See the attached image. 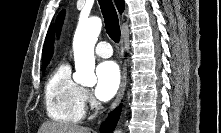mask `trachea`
<instances>
[{
  "mask_svg": "<svg viewBox=\"0 0 221 133\" xmlns=\"http://www.w3.org/2000/svg\"><path fill=\"white\" fill-rule=\"evenodd\" d=\"M101 12L103 14L106 32L116 43L120 41V26L116 9L112 0H99Z\"/></svg>",
  "mask_w": 221,
  "mask_h": 133,
  "instance_id": "1",
  "label": "trachea"
}]
</instances>
